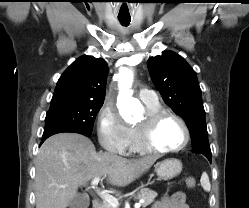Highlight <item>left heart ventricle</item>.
Instances as JSON below:
<instances>
[{
	"label": "left heart ventricle",
	"mask_w": 249,
	"mask_h": 208,
	"mask_svg": "<svg viewBox=\"0 0 249 208\" xmlns=\"http://www.w3.org/2000/svg\"><path fill=\"white\" fill-rule=\"evenodd\" d=\"M183 140V128L172 118L164 119L151 135V143L160 149L176 148Z\"/></svg>",
	"instance_id": "1"
}]
</instances>
